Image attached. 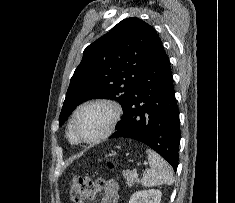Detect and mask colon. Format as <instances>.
<instances>
[{
  "mask_svg": "<svg viewBox=\"0 0 235 203\" xmlns=\"http://www.w3.org/2000/svg\"><path fill=\"white\" fill-rule=\"evenodd\" d=\"M113 163H109L112 167ZM102 188V181L85 176H76L70 185V196L75 203H83L88 199L94 198Z\"/></svg>",
  "mask_w": 235,
  "mask_h": 203,
  "instance_id": "5ec220e1",
  "label": "colon"
}]
</instances>
